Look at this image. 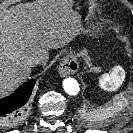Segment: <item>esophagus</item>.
<instances>
[{"instance_id":"1","label":"esophagus","mask_w":133,"mask_h":133,"mask_svg":"<svg viewBox=\"0 0 133 133\" xmlns=\"http://www.w3.org/2000/svg\"><path fill=\"white\" fill-rule=\"evenodd\" d=\"M79 66L78 63L73 60H64L59 68V74L61 77L73 74L77 72Z\"/></svg>"}]
</instances>
